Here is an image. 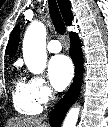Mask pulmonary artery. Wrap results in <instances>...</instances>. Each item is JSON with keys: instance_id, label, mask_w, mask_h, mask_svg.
I'll return each mask as SVG.
<instances>
[{"instance_id": "e3ab8cb5", "label": "pulmonary artery", "mask_w": 108, "mask_h": 127, "mask_svg": "<svg viewBox=\"0 0 108 127\" xmlns=\"http://www.w3.org/2000/svg\"><path fill=\"white\" fill-rule=\"evenodd\" d=\"M62 49L61 43L58 40H51L47 45V50L50 53H58Z\"/></svg>"}]
</instances>
